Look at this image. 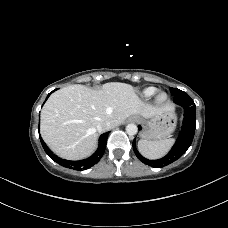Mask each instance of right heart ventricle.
Wrapping results in <instances>:
<instances>
[{
    "label": "right heart ventricle",
    "mask_w": 228,
    "mask_h": 228,
    "mask_svg": "<svg viewBox=\"0 0 228 228\" xmlns=\"http://www.w3.org/2000/svg\"><path fill=\"white\" fill-rule=\"evenodd\" d=\"M157 89L155 87H147L141 92V96L144 99L151 98L155 93Z\"/></svg>",
    "instance_id": "e07e8e85"
}]
</instances>
